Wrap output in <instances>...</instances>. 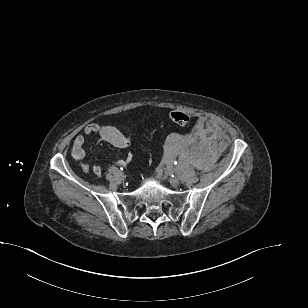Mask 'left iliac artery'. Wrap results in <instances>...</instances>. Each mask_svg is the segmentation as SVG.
<instances>
[{
	"instance_id": "44dca946",
	"label": "left iliac artery",
	"mask_w": 308,
	"mask_h": 308,
	"mask_svg": "<svg viewBox=\"0 0 308 308\" xmlns=\"http://www.w3.org/2000/svg\"><path fill=\"white\" fill-rule=\"evenodd\" d=\"M174 164L177 165V162L175 161Z\"/></svg>"
}]
</instances>
